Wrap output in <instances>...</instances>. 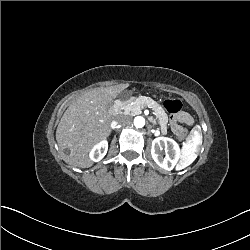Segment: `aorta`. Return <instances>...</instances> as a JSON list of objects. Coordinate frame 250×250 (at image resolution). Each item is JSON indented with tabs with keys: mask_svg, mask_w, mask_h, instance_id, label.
I'll use <instances>...</instances> for the list:
<instances>
[{
	"mask_svg": "<svg viewBox=\"0 0 250 250\" xmlns=\"http://www.w3.org/2000/svg\"><path fill=\"white\" fill-rule=\"evenodd\" d=\"M145 125V118L142 116H136L134 118V126L136 128H142Z\"/></svg>",
	"mask_w": 250,
	"mask_h": 250,
	"instance_id": "1",
	"label": "aorta"
}]
</instances>
